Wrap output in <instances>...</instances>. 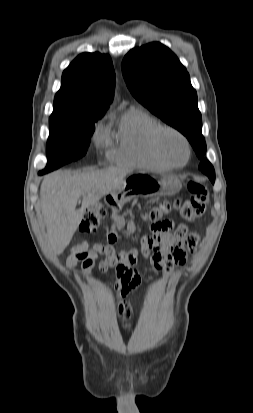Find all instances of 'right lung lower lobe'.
I'll list each match as a JSON object with an SVG mask.
<instances>
[{
  "label": "right lung lower lobe",
  "mask_w": 253,
  "mask_h": 413,
  "mask_svg": "<svg viewBox=\"0 0 253 413\" xmlns=\"http://www.w3.org/2000/svg\"><path fill=\"white\" fill-rule=\"evenodd\" d=\"M39 174L42 175V174H45V173H42V172L40 171Z\"/></svg>",
  "instance_id": "1"
}]
</instances>
